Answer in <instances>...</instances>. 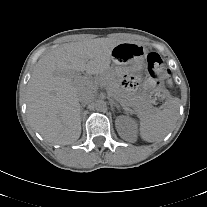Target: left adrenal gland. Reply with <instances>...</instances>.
Wrapping results in <instances>:
<instances>
[{
    "instance_id": "obj_1",
    "label": "left adrenal gland",
    "mask_w": 207,
    "mask_h": 207,
    "mask_svg": "<svg viewBox=\"0 0 207 207\" xmlns=\"http://www.w3.org/2000/svg\"><path fill=\"white\" fill-rule=\"evenodd\" d=\"M111 106L116 107L118 110L121 109L120 106L117 103H115L114 101L111 102Z\"/></svg>"
}]
</instances>
